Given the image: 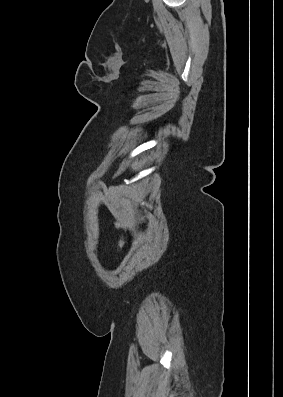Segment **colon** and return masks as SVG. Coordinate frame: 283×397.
Here are the masks:
<instances>
[{
  "instance_id": "1",
  "label": "colon",
  "mask_w": 283,
  "mask_h": 397,
  "mask_svg": "<svg viewBox=\"0 0 283 397\" xmlns=\"http://www.w3.org/2000/svg\"><path fill=\"white\" fill-rule=\"evenodd\" d=\"M114 225L116 227V229L119 231V239H118V251L121 252L124 244H125V230H124V226L122 225V223H120L117 220H114Z\"/></svg>"
}]
</instances>
